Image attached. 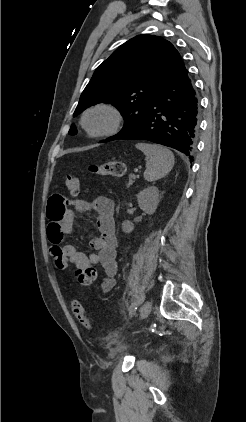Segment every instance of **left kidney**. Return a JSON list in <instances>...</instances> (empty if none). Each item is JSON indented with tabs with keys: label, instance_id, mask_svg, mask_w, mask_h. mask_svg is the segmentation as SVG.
Instances as JSON below:
<instances>
[{
	"label": "left kidney",
	"instance_id": "5707ae66",
	"mask_svg": "<svg viewBox=\"0 0 246 422\" xmlns=\"http://www.w3.org/2000/svg\"><path fill=\"white\" fill-rule=\"evenodd\" d=\"M137 202L139 207L149 215H152L159 203V190L156 186H148L137 194ZM122 230L130 233L134 230L132 222L126 220L122 223Z\"/></svg>",
	"mask_w": 246,
	"mask_h": 422
}]
</instances>
